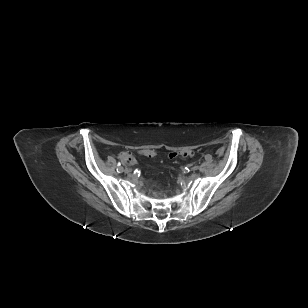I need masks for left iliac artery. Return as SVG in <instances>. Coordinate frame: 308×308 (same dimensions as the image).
<instances>
[{"instance_id":"obj_1","label":"left iliac artery","mask_w":308,"mask_h":308,"mask_svg":"<svg viewBox=\"0 0 308 308\" xmlns=\"http://www.w3.org/2000/svg\"><path fill=\"white\" fill-rule=\"evenodd\" d=\"M204 159H205V161L209 162V161H211L212 158H211V156L207 155V156H205Z\"/></svg>"}]
</instances>
